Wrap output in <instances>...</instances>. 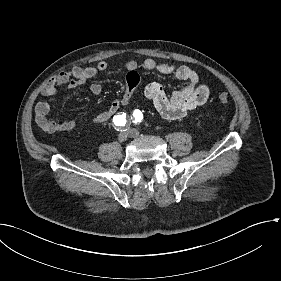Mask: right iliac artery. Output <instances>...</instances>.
Here are the masks:
<instances>
[{
  "mask_svg": "<svg viewBox=\"0 0 281 281\" xmlns=\"http://www.w3.org/2000/svg\"><path fill=\"white\" fill-rule=\"evenodd\" d=\"M129 117L126 113H118L113 117V124L117 131H126L129 126Z\"/></svg>",
  "mask_w": 281,
  "mask_h": 281,
  "instance_id": "82829eb1",
  "label": "right iliac artery"
}]
</instances>
